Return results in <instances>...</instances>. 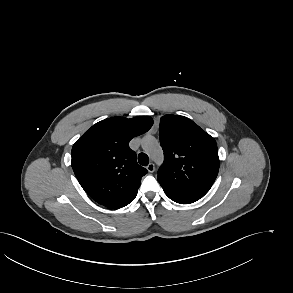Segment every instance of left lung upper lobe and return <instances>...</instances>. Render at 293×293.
I'll use <instances>...</instances> for the list:
<instances>
[{"instance_id": "obj_1", "label": "left lung upper lobe", "mask_w": 293, "mask_h": 293, "mask_svg": "<svg viewBox=\"0 0 293 293\" xmlns=\"http://www.w3.org/2000/svg\"><path fill=\"white\" fill-rule=\"evenodd\" d=\"M164 163L158 181L169 196L198 200L213 185L219 170L216 141L192 120L179 115L160 119Z\"/></svg>"}]
</instances>
